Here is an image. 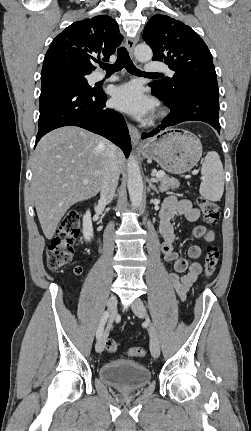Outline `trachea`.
<instances>
[{
    "instance_id": "obj_1",
    "label": "trachea",
    "mask_w": 251,
    "mask_h": 431,
    "mask_svg": "<svg viewBox=\"0 0 251 431\" xmlns=\"http://www.w3.org/2000/svg\"><path fill=\"white\" fill-rule=\"evenodd\" d=\"M117 60L114 64L100 63V67L106 71L107 74H113L125 68L133 75H158L159 73H145L135 67L130 59L129 53L125 47H120L117 50Z\"/></svg>"
}]
</instances>
